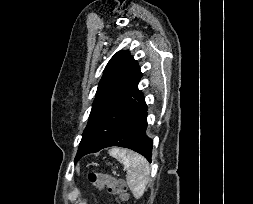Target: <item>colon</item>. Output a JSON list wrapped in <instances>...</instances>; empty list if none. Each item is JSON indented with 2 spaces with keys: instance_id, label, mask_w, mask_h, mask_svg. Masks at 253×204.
<instances>
[{
  "instance_id": "1",
  "label": "colon",
  "mask_w": 253,
  "mask_h": 204,
  "mask_svg": "<svg viewBox=\"0 0 253 204\" xmlns=\"http://www.w3.org/2000/svg\"><path fill=\"white\" fill-rule=\"evenodd\" d=\"M89 182L98 189L106 187L107 191L117 197L125 199L126 187L125 183L112 175L103 173H89Z\"/></svg>"
}]
</instances>
